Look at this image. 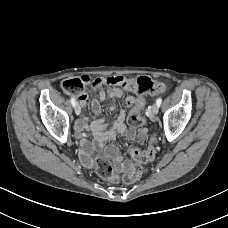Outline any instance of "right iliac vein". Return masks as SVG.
<instances>
[{"label":"right iliac vein","mask_w":228,"mask_h":228,"mask_svg":"<svg viewBox=\"0 0 228 228\" xmlns=\"http://www.w3.org/2000/svg\"><path fill=\"white\" fill-rule=\"evenodd\" d=\"M74 109H75L76 115H79L80 112H81V108H80L79 104H76L75 107H74Z\"/></svg>","instance_id":"63e3f726"}]
</instances>
